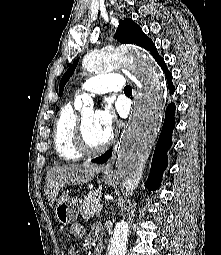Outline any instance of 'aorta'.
<instances>
[{
  "instance_id": "aorta-1",
  "label": "aorta",
  "mask_w": 221,
  "mask_h": 255,
  "mask_svg": "<svg viewBox=\"0 0 221 255\" xmlns=\"http://www.w3.org/2000/svg\"><path fill=\"white\" fill-rule=\"evenodd\" d=\"M83 65L91 71H104L124 66L128 68L139 86L136 105L129 127L120 141L116 161L118 185L126 199L132 196L142 177L143 167L149 157L162 120L165 91L156 63L144 50L121 47L111 53L91 52L83 59ZM88 94L75 97L74 106L91 107ZM129 226L121 220L111 235L108 255H125Z\"/></svg>"
}]
</instances>
